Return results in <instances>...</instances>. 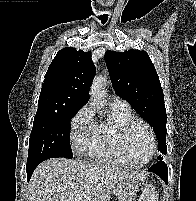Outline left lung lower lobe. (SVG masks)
I'll list each match as a JSON object with an SVG mask.
<instances>
[{"mask_svg": "<svg viewBox=\"0 0 196 201\" xmlns=\"http://www.w3.org/2000/svg\"><path fill=\"white\" fill-rule=\"evenodd\" d=\"M149 171L160 176L164 180V182L168 184V169L163 159L157 162L155 165H153L149 169Z\"/></svg>", "mask_w": 196, "mask_h": 201, "instance_id": "left-lung-lower-lobe-1", "label": "left lung lower lobe"}]
</instances>
